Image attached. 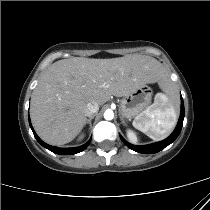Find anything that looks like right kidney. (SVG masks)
<instances>
[{"mask_svg": "<svg viewBox=\"0 0 210 210\" xmlns=\"http://www.w3.org/2000/svg\"><path fill=\"white\" fill-rule=\"evenodd\" d=\"M84 138V135H81L80 137H79V140H82Z\"/></svg>", "mask_w": 210, "mask_h": 210, "instance_id": "1", "label": "right kidney"}]
</instances>
